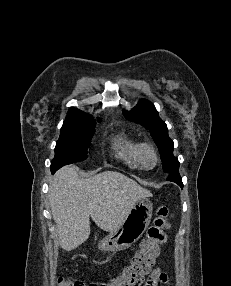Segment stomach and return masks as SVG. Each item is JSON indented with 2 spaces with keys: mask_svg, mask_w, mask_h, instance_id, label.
Segmentation results:
<instances>
[{
  "mask_svg": "<svg viewBox=\"0 0 231 286\" xmlns=\"http://www.w3.org/2000/svg\"><path fill=\"white\" fill-rule=\"evenodd\" d=\"M152 210V203L147 198L138 200L119 227L98 243V249L109 252L131 247L149 226Z\"/></svg>",
  "mask_w": 231,
  "mask_h": 286,
  "instance_id": "obj_1",
  "label": "stomach"
}]
</instances>
